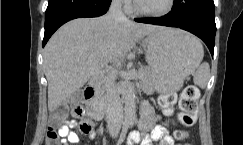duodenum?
Returning <instances> with one entry per match:
<instances>
[{"label": "duodenum", "instance_id": "duodenum-1", "mask_svg": "<svg viewBox=\"0 0 243 145\" xmlns=\"http://www.w3.org/2000/svg\"><path fill=\"white\" fill-rule=\"evenodd\" d=\"M103 68L98 69L85 87L84 98L88 115L94 120L103 118L110 105V100L101 98L96 93V81L102 75ZM126 98V87L120 86L115 97L116 102H123Z\"/></svg>", "mask_w": 243, "mask_h": 145}]
</instances>
